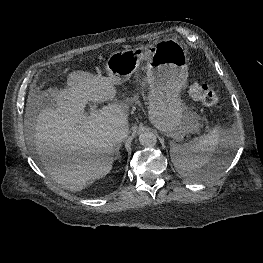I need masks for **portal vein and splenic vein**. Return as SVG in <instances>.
<instances>
[{"label": "portal vein and splenic vein", "mask_w": 263, "mask_h": 263, "mask_svg": "<svg viewBox=\"0 0 263 263\" xmlns=\"http://www.w3.org/2000/svg\"><path fill=\"white\" fill-rule=\"evenodd\" d=\"M95 111H96V110H95V107H94V106H91V107H90V115H93ZM79 127H81V126H79Z\"/></svg>", "instance_id": "18ae733b"}]
</instances>
